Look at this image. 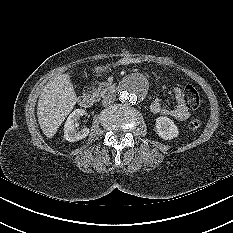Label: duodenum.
<instances>
[{"label": "duodenum", "instance_id": "obj_1", "mask_svg": "<svg viewBox=\"0 0 233 233\" xmlns=\"http://www.w3.org/2000/svg\"><path fill=\"white\" fill-rule=\"evenodd\" d=\"M113 89L110 86L97 87L94 92L90 94H82L78 97V104L83 108H90L94 103L106 98L107 95L112 94Z\"/></svg>", "mask_w": 233, "mask_h": 233}]
</instances>
